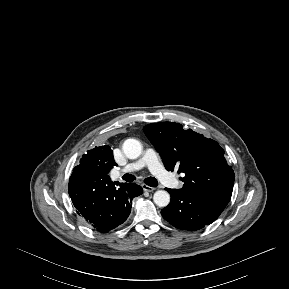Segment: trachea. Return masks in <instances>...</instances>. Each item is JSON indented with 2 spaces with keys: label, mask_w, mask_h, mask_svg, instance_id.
Returning <instances> with one entry per match:
<instances>
[{
  "label": "trachea",
  "mask_w": 289,
  "mask_h": 289,
  "mask_svg": "<svg viewBox=\"0 0 289 289\" xmlns=\"http://www.w3.org/2000/svg\"><path fill=\"white\" fill-rule=\"evenodd\" d=\"M122 178L126 182H133V180L135 179V176L131 174H124ZM144 182L150 187H156L158 185V182L154 177H148L144 180Z\"/></svg>",
  "instance_id": "obj_1"
}]
</instances>
